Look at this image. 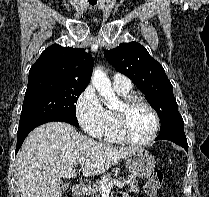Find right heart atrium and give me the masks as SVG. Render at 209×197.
<instances>
[{
	"label": "right heart atrium",
	"instance_id": "d8ad5b80",
	"mask_svg": "<svg viewBox=\"0 0 209 197\" xmlns=\"http://www.w3.org/2000/svg\"><path fill=\"white\" fill-rule=\"evenodd\" d=\"M75 110L83 130L92 137H101L107 122V109L92 86L86 87L78 96Z\"/></svg>",
	"mask_w": 209,
	"mask_h": 197
}]
</instances>
